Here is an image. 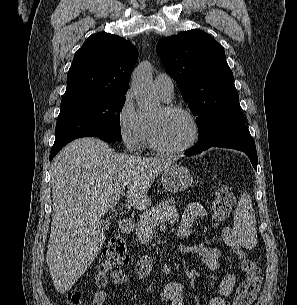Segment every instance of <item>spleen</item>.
Wrapping results in <instances>:
<instances>
[{
  "instance_id": "3e777b00",
  "label": "spleen",
  "mask_w": 297,
  "mask_h": 305,
  "mask_svg": "<svg viewBox=\"0 0 297 305\" xmlns=\"http://www.w3.org/2000/svg\"><path fill=\"white\" fill-rule=\"evenodd\" d=\"M256 218L250 195L244 192L234 211V230L242 237L247 239L251 246L257 241Z\"/></svg>"
}]
</instances>
